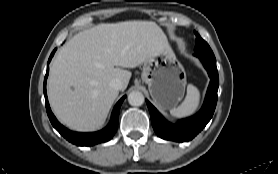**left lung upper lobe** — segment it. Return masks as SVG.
<instances>
[{"instance_id": "obj_1", "label": "left lung upper lobe", "mask_w": 278, "mask_h": 174, "mask_svg": "<svg viewBox=\"0 0 278 174\" xmlns=\"http://www.w3.org/2000/svg\"><path fill=\"white\" fill-rule=\"evenodd\" d=\"M195 35H196L195 55L205 56L213 60H216L207 42L204 41L197 32H195Z\"/></svg>"}]
</instances>
